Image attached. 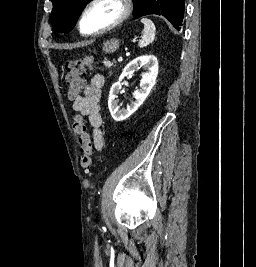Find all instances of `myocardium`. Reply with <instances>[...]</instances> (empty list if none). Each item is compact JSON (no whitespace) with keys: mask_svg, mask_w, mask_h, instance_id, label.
<instances>
[{"mask_svg":"<svg viewBox=\"0 0 256 267\" xmlns=\"http://www.w3.org/2000/svg\"><path fill=\"white\" fill-rule=\"evenodd\" d=\"M102 3H111L115 5L119 9V12H120L118 18L101 31L94 32V33L85 32L82 28V21H83L85 14L90 9H92L94 6L98 4H102ZM129 14H130V8L123 0H93L80 11L78 15V19H77V26H78L79 32L82 35L87 36V37H98L103 34H106L110 30L120 25L128 17Z\"/></svg>","mask_w":256,"mask_h":267,"instance_id":"obj_1","label":"myocardium"}]
</instances>
